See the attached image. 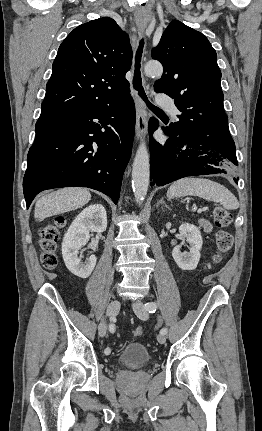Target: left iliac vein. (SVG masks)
<instances>
[{
	"mask_svg": "<svg viewBox=\"0 0 262 431\" xmlns=\"http://www.w3.org/2000/svg\"><path fill=\"white\" fill-rule=\"evenodd\" d=\"M134 313L142 320H146L148 318V311L145 308L143 301L136 300L132 305ZM157 340L160 344H164L166 342V337L164 334H159L157 336Z\"/></svg>",
	"mask_w": 262,
	"mask_h": 431,
	"instance_id": "1",
	"label": "left iliac vein"
}]
</instances>
